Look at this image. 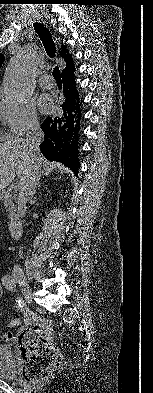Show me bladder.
Returning a JSON list of instances; mask_svg holds the SVG:
<instances>
[{
  "mask_svg": "<svg viewBox=\"0 0 153 393\" xmlns=\"http://www.w3.org/2000/svg\"><path fill=\"white\" fill-rule=\"evenodd\" d=\"M15 367L16 362L11 347L0 344V378L13 380Z\"/></svg>",
  "mask_w": 153,
  "mask_h": 393,
  "instance_id": "bladder-1",
  "label": "bladder"
}]
</instances>
